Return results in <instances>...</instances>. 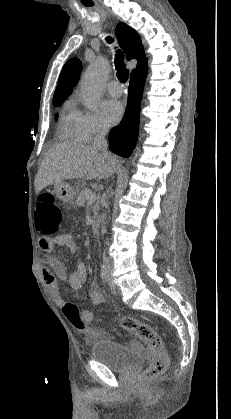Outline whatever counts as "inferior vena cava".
<instances>
[{
  "mask_svg": "<svg viewBox=\"0 0 231 419\" xmlns=\"http://www.w3.org/2000/svg\"><path fill=\"white\" fill-rule=\"evenodd\" d=\"M108 132V129L106 127H101L95 137H94V141L92 143V147L95 150H98L100 152H102L105 156H107L108 158H111L112 155L107 151V141L105 139V136ZM103 262L106 266L110 265L109 259L103 255Z\"/></svg>",
  "mask_w": 231,
  "mask_h": 419,
  "instance_id": "1",
  "label": "inferior vena cava"
}]
</instances>
